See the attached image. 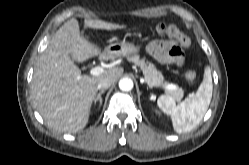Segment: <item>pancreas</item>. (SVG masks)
Masks as SVG:
<instances>
[{
  "label": "pancreas",
  "mask_w": 249,
  "mask_h": 165,
  "mask_svg": "<svg viewBox=\"0 0 249 165\" xmlns=\"http://www.w3.org/2000/svg\"><path fill=\"white\" fill-rule=\"evenodd\" d=\"M127 59L135 65L140 66L144 74V80L150 87H158L164 84V77L161 72L157 71L154 64L146 62L145 59H140L138 55L127 56ZM168 94L175 100L180 101L184 95L182 88L176 87L174 90H168Z\"/></svg>",
  "instance_id": "pancreas-1"
}]
</instances>
